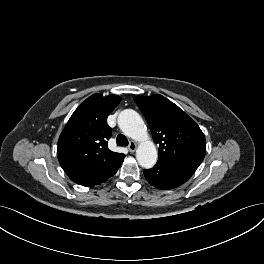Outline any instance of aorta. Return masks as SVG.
<instances>
[{
	"label": "aorta",
	"mask_w": 264,
	"mask_h": 264,
	"mask_svg": "<svg viewBox=\"0 0 264 264\" xmlns=\"http://www.w3.org/2000/svg\"><path fill=\"white\" fill-rule=\"evenodd\" d=\"M118 125L128 137L139 142L136 159L143 168H152L157 162V150L150 139L141 116L132 109H125L118 116Z\"/></svg>",
	"instance_id": "762f6f07"
}]
</instances>
